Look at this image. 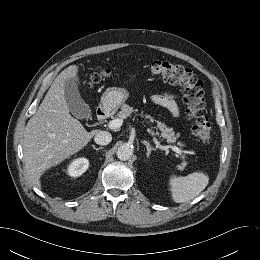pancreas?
Wrapping results in <instances>:
<instances>
[{
	"instance_id": "1",
	"label": "pancreas",
	"mask_w": 260,
	"mask_h": 260,
	"mask_svg": "<svg viewBox=\"0 0 260 260\" xmlns=\"http://www.w3.org/2000/svg\"><path fill=\"white\" fill-rule=\"evenodd\" d=\"M137 110H134L132 107H130L127 104H123L121 106V111L118 113V117L120 118H127L132 115L133 112H136ZM143 117L146 119H149L150 122H154L156 120L153 119L152 116L145 114ZM157 122V128L161 131V133H156L157 135H160L163 139H166L167 142L174 143L176 142L177 136L175 135V132L173 131V128L167 127L165 123H162L161 121ZM186 162L182 163V168L186 166Z\"/></svg>"
}]
</instances>
